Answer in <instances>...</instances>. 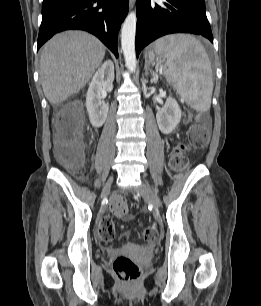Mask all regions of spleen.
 I'll list each match as a JSON object with an SVG mask.
<instances>
[{"label":"spleen","instance_id":"3e777b00","mask_svg":"<svg viewBox=\"0 0 261 306\" xmlns=\"http://www.w3.org/2000/svg\"><path fill=\"white\" fill-rule=\"evenodd\" d=\"M154 49L163 57L164 74L178 94L197 111H208L214 83L203 45L191 35L172 34L156 40Z\"/></svg>","mask_w":261,"mask_h":306}]
</instances>
